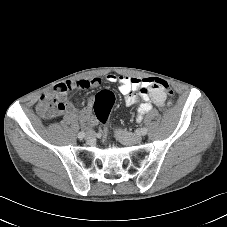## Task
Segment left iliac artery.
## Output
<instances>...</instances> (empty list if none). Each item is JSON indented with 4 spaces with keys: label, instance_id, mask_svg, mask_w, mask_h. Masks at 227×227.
<instances>
[{
    "label": "left iliac artery",
    "instance_id": "left-iliac-artery-1",
    "mask_svg": "<svg viewBox=\"0 0 227 227\" xmlns=\"http://www.w3.org/2000/svg\"><path fill=\"white\" fill-rule=\"evenodd\" d=\"M147 131L148 130L145 127L141 128V130H140V132H141L142 135H146L147 134Z\"/></svg>",
    "mask_w": 227,
    "mask_h": 227
}]
</instances>
